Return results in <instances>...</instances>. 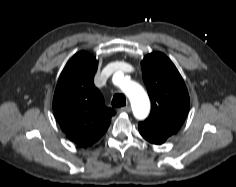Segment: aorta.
Returning a JSON list of instances; mask_svg holds the SVG:
<instances>
[{
    "label": "aorta",
    "mask_w": 236,
    "mask_h": 187,
    "mask_svg": "<svg viewBox=\"0 0 236 187\" xmlns=\"http://www.w3.org/2000/svg\"><path fill=\"white\" fill-rule=\"evenodd\" d=\"M114 83L119 85L129 98L135 117L138 119L145 118L149 113L150 103L143 87L132 81H117L116 77H114Z\"/></svg>",
    "instance_id": "aorta-1"
}]
</instances>
